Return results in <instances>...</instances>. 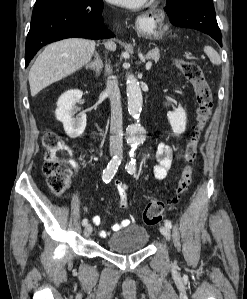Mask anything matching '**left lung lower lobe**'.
<instances>
[{"mask_svg":"<svg viewBox=\"0 0 247 299\" xmlns=\"http://www.w3.org/2000/svg\"><path fill=\"white\" fill-rule=\"evenodd\" d=\"M164 9L171 24L206 33L222 47L221 32L213 3L204 0H179L173 7L166 6Z\"/></svg>","mask_w":247,"mask_h":299,"instance_id":"0a47b994","label":"left lung lower lobe"}]
</instances>
